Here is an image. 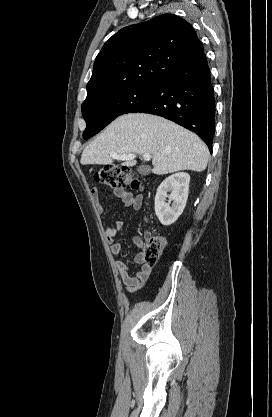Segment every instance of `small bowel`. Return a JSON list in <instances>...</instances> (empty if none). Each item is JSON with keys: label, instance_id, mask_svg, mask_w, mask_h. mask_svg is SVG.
Returning a JSON list of instances; mask_svg holds the SVG:
<instances>
[{"label": "small bowel", "instance_id": "1", "mask_svg": "<svg viewBox=\"0 0 272 417\" xmlns=\"http://www.w3.org/2000/svg\"><path fill=\"white\" fill-rule=\"evenodd\" d=\"M101 194L100 187H93L91 195L97 204V212L101 214L103 212V206L99 199ZM113 194L126 206L131 207L134 210H139L143 204V196L141 194L134 195L133 193L125 190L124 188H115ZM123 227L122 221H116L112 226H108L105 230L106 239L110 245L111 253L119 255L122 252V244L115 240L117 234ZM132 243L135 247L141 248L143 241L140 237L135 236L132 238ZM134 262L140 264L141 268L135 274H131L128 265L123 261H116L115 267L117 269L119 278L124 285L125 290L128 293H134L140 290L147 282L152 267L144 264L143 255L141 253L136 254Z\"/></svg>", "mask_w": 272, "mask_h": 417}]
</instances>
